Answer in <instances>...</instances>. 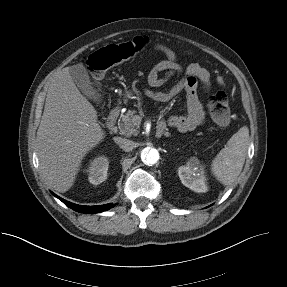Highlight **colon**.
Masks as SVG:
<instances>
[{
    "instance_id": "1",
    "label": "colon",
    "mask_w": 287,
    "mask_h": 287,
    "mask_svg": "<svg viewBox=\"0 0 287 287\" xmlns=\"http://www.w3.org/2000/svg\"><path fill=\"white\" fill-rule=\"evenodd\" d=\"M147 44L148 39L146 37L138 36L131 41L109 44L96 50L87 60V66L93 80L98 82L110 67L133 58L143 51ZM208 106L214 122L220 126L229 124L230 107L225 92L217 91L212 94Z\"/></svg>"
}]
</instances>
